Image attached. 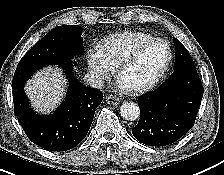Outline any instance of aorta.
Returning a JSON list of instances; mask_svg holds the SVG:
<instances>
[{"instance_id": "obj_1", "label": "aorta", "mask_w": 224, "mask_h": 175, "mask_svg": "<svg viewBox=\"0 0 224 175\" xmlns=\"http://www.w3.org/2000/svg\"><path fill=\"white\" fill-rule=\"evenodd\" d=\"M120 114L124 119L134 121L140 116V109L134 102H124L120 107Z\"/></svg>"}]
</instances>
